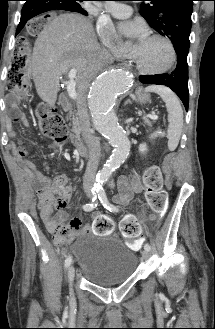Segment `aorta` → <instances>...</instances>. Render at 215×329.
<instances>
[{"label": "aorta", "mask_w": 215, "mask_h": 329, "mask_svg": "<svg viewBox=\"0 0 215 329\" xmlns=\"http://www.w3.org/2000/svg\"><path fill=\"white\" fill-rule=\"evenodd\" d=\"M132 83L130 73L111 68L101 73L92 83L88 94V105L95 129L114 147L108 162L97 174V184L105 183L113 171L128 157L130 141L119 125L114 105L120 92L127 90Z\"/></svg>", "instance_id": "762f6f07"}]
</instances>
